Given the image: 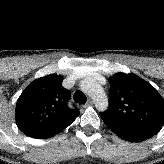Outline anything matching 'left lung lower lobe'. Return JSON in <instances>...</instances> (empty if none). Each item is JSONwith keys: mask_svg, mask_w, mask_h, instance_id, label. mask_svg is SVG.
Here are the masks:
<instances>
[{"mask_svg": "<svg viewBox=\"0 0 164 164\" xmlns=\"http://www.w3.org/2000/svg\"><path fill=\"white\" fill-rule=\"evenodd\" d=\"M100 116L107 127H109L118 137L126 141L141 142L155 135L148 131H143L121 125L102 113L100 114Z\"/></svg>", "mask_w": 164, "mask_h": 164, "instance_id": "0a47b994", "label": "left lung lower lobe"}]
</instances>
